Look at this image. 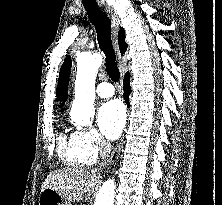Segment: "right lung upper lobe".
<instances>
[{
	"label": "right lung upper lobe",
	"mask_w": 222,
	"mask_h": 205,
	"mask_svg": "<svg viewBox=\"0 0 222 205\" xmlns=\"http://www.w3.org/2000/svg\"><path fill=\"white\" fill-rule=\"evenodd\" d=\"M124 30L123 28H120V31L118 33V43L120 47V52L123 54L126 51L127 48V43L124 40ZM70 67H71V58L68 56L61 69H60V74H59V80H58V86H57V101H63L64 99L67 98V86H68V81H69V72H70ZM64 102L62 103V105Z\"/></svg>",
	"instance_id": "1"
}]
</instances>
